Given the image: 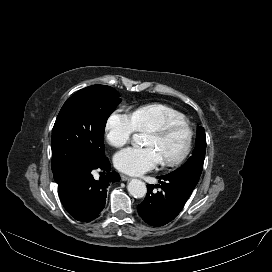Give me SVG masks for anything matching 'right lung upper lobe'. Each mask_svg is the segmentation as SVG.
Segmentation results:
<instances>
[{"label":"right lung upper lobe","mask_w":272,"mask_h":272,"mask_svg":"<svg viewBox=\"0 0 272 272\" xmlns=\"http://www.w3.org/2000/svg\"><path fill=\"white\" fill-rule=\"evenodd\" d=\"M61 180H57V181H55V182H60Z\"/></svg>","instance_id":"right-lung-upper-lobe-1"}]
</instances>
